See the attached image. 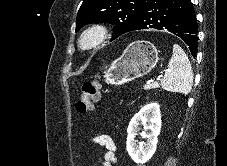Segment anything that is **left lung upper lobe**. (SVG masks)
Returning a JSON list of instances; mask_svg holds the SVG:
<instances>
[{
    "label": "left lung upper lobe",
    "mask_w": 227,
    "mask_h": 166,
    "mask_svg": "<svg viewBox=\"0 0 227 166\" xmlns=\"http://www.w3.org/2000/svg\"><path fill=\"white\" fill-rule=\"evenodd\" d=\"M147 0H84L77 15L76 32L89 23H111L112 39L133 31Z\"/></svg>",
    "instance_id": "obj_1"
}]
</instances>
